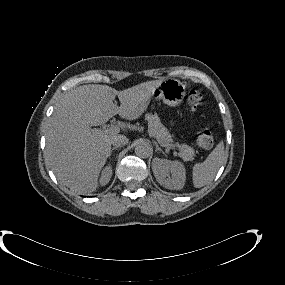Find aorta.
Instances as JSON below:
<instances>
[{
    "instance_id": "obj_1",
    "label": "aorta",
    "mask_w": 285,
    "mask_h": 285,
    "mask_svg": "<svg viewBox=\"0 0 285 285\" xmlns=\"http://www.w3.org/2000/svg\"><path fill=\"white\" fill-rule=\"evenodd\" d=\"M151 151H152L151 146L146 141L139 140L136 142L135 153L137 156L141 158H147L150 156Z\"/></svg>"
}]
</instances>
